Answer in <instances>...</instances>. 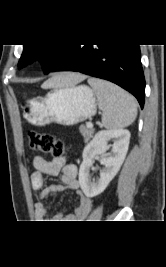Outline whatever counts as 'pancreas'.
Listing matches in <instances>:
<instances>
[{"mask_svg":"<svg viewBox=\"0 0 166 267\" xmlns=\"http://www.w3.org/2000/svg\"><path fill=\"white\" fill-rule=\"evenodd\" d=\"M80 133L82 134L83 138H84V141L85 142H88L93 134H94V129L93 128H88V127H85V126H81L80 127Z\"/></svg>","mask_w":166,"mask_h":267,"instance_id":"pancreas-1","label":"pancreas"}]
</instances>
